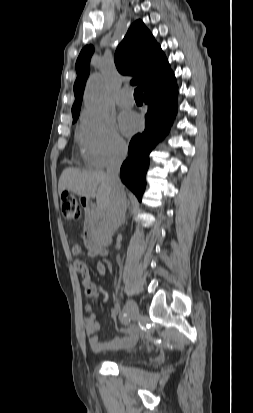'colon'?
I'll return each instance as SVG.
<instances>
[{"mask_svg":"<svg viewBox=\"0 0 253 413\" xmlns=\"http://www.w3.org/2000/svg\"><path fill=\"white\" fill-rule=\"evenodd\" d=\"M61 211L63 218L66 220L78 219L81 215L76 199L69 193H64L61 196ZM91 293L93 296L96 295V293Z\"/></svg>","mask_w":253,"mask_h":413,"instance_id":"1","label":"colon"}]
</instances>
